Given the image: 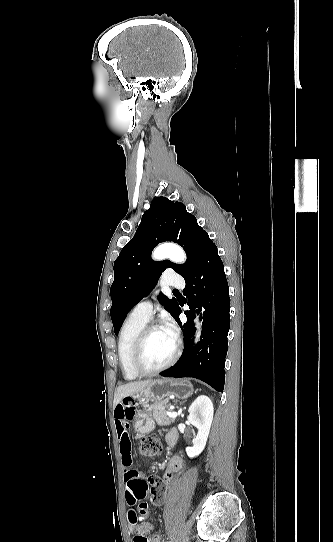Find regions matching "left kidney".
<instances>
[{
  "mask_svg": "<svg viewBox=\"0 0 333 542\" xmlns=\"http://www.w3.org/2000/svg\"><path fill=\"white\" fill-rule=\"evenodd\" d=\"M188 412V422L197 428L198 434L192 448H186V452L189 458H195V456H199L203 452L206 446L213 420L214 408L208 396H198L193 404H191Z\"/></svg>",
  "mask_w": 333,
  "mask_h": 542,
  "instance_id": "5707ae66",
  "label": "left kidney"
}]
</instances>
